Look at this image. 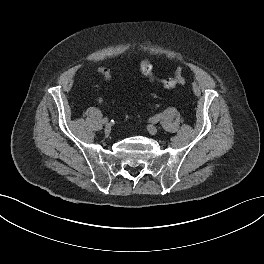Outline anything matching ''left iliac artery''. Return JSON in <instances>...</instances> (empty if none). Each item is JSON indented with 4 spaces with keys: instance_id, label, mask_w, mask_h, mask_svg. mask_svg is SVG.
Here are the masks:
<instances>
[{
    "instance_id": "1",
    "label": "left iliac artery",
    "mask_w": 264,
    "mask_h": 264,
    "mask_svg": "<svg viewBox=\"0 0 264 264\" xmlns=\"http://www.w3.org/2000/svg\"><path fill=\"white\" fill-rule=\"evenodd\" d=\"M161 118H162V114H157L156 116L150 118V121L153 122V123H156L159 120H161Z\"/></svg>"
}]
</instances>
